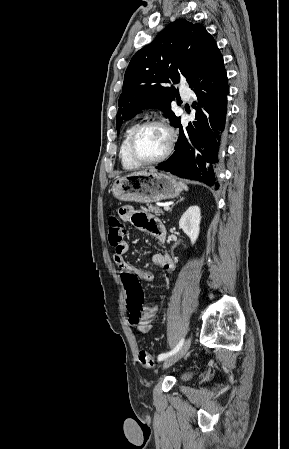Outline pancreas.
<instances>
[{"label":"pancreas","instance_id":"pancreas-1","mask_svg":"<svg viewBox=\"0 0 289 449\" xmlns=\"http://www.w3.org/2000/svg\"><path fill=\"white\" fill-rule=\"evenodd\" d=\"M149 211H151L152 213H155L156 215H163L164 212L162 211L161 208H159L158 206H153V205H147Z\"/></svg>","mask_w":289,"mask_h":449}]
</instances>
